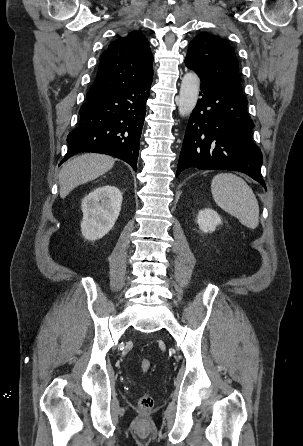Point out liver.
Here are the masks:
<instances>
[{
    "mask_svg": "<svg viewBox=\"0 0 303 446\" xmlns=\"http://www.w3.org/2000/svg\"><path fill=\"white\" fill-rule=\"evenodd\" d=\"M114 163L112 157L97 153H86L71 159L60 171V197L65 198L77 186L105 174Z\"/></svg>",
    "mask_w": 303,
    "mask_h": 446,
    "instance_id": "1",
    "label": "liver"
}]
</instances>
